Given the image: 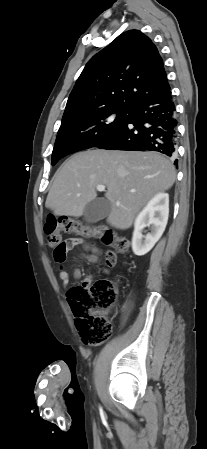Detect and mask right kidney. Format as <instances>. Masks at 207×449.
<instances>
[{
	"label": "right kidney",
	"mask_w": 207,
	"mask_h": 449,
	"mask_svg": "<svg viewBox=\"0 0 207 449\" xmlns=\"http://www.w3.org/2000/svg\"><path fill=\"white\" fill-rule=\"evenodd\" d=\"M168 215L169 195L163 192L156 194L135 220L132 237L135 255L143 256L153 248L166 228ZM146 227L150 228V232L144 236L142 232Z\"/></svg>",
	"instance_id": "right-kidney-1"
}]
</instances>
